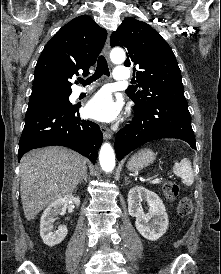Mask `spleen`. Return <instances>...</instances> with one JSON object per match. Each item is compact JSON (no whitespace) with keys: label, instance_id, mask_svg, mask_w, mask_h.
Here are the masks:
<instances>
[{"label":"spleen","instance_id":"obj_1","mask_svg":"<svg viewBox=\"0 0 221 274\" xmlns=\"http://www.w3.org/2000/svg\"><path fill=\"white\" fill-rule=\"evenodd\" d=\"M173 172L178 175L183 184L191 186L194 182V174L191 162L188 158H183L180 162L175 163Z\"/></svg>","mask_w":221,"mask_h":274}]
</instances>
